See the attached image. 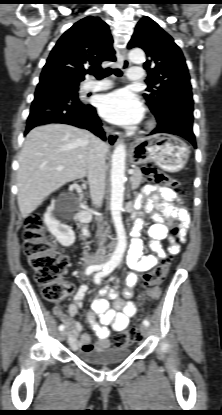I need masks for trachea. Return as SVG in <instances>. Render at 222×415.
<instances>
[{
  "label": "trachea",
  "mask_w": 222,
  "mask_h": 415,
  "mask_svg": "<svg viewBox=\"0 0 222 415\" xmlns=\"http://www.w3.org/2000/svg\"><path fill=\"white\" fill-rule=\"evenodd\" d=\"M111 74H115L116 76L121 77L123 73L120 69L106 68V69L95 72L94 76L100 80V79L110 76Z\"/></svg>",
  "instance_id": "obj_1"
}]
</instances>
